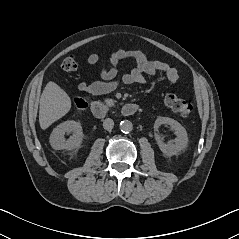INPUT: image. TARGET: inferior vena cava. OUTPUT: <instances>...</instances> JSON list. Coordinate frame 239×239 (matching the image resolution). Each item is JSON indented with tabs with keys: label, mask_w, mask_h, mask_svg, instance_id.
Segmentation results:
<instances>
[{
	"label": "inferior vena cava",
	"mask_w": 239,
	"mask_h": 239,
	"mask_svg": "<svg viewBox=\"0 0 239 239\" xmlns=\"http://www.w3.org/2000/svg\"><path fill=\"white\" fill-rule=\"evenodd\" d=\"M113 126H114V121L111 119V118H106L104 121H103V128L105 130H112L113 129Z\"/></svg>",
	"instance_id": "obj_1"
}]
</instances>
